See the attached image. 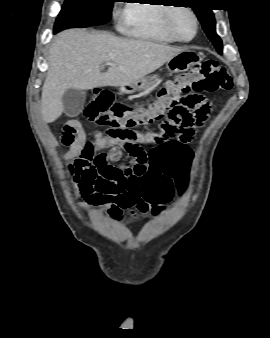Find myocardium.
Masks as SVG:
<instances>
[{
    "label": "myocardium",
    "mask_w": 270,
    "mask_h": 338,
    "mask_svg": "<svg viewBox=\"0 0 270 338\" xmlns=\"http://www.w3.org/2000/svg\"><path fill=\"white\" fill-rule=\"evenodd\" d=\"M180 12H184L189 14L192 19H193V23H194V32L193 35L189 38H181L177 35L175 28H174V19L175 16L180 13ZM198 17L197 15L190 9L187 7H184L182 5H175L173 6V8H171L167 13H166V17H165V29L166 31L169 33V35L175 40V41H179V42H190L192 41L198 32Z\"/></svg>",
    "instance_id": "f54148a6"
}]
</instances>
